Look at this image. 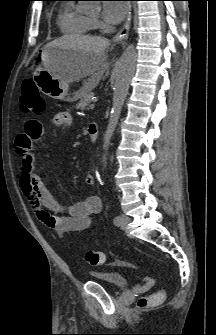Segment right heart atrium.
<instances>
[{"label":"right heart atrium","mask_w":216,"mask_h":335,"mask_svg":"<svg viewBox=\"0 0 216 335\" xmlns=\"http://www.w3.org/2000/svg\"><path fill=\"white\" fill-rule=\"evenodd\" d=\"M95 28H100L101 24L98 20H93Z\"/></svg>","instance_id":"1"}]
</instances>
